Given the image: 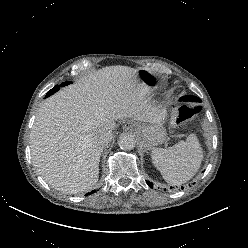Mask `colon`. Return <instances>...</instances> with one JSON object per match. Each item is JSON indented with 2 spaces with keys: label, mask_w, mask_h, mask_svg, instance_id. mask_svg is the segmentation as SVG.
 Instances as JSON below:
<instances>
[{
  "label": "colon",
  "mask_w": 248,
  "mask_h": 248,
  "mask_svg": "<svg viewBox=\"0 0 248 248\" xmlns=\"http://www.w3.org/2000/svg\"><path fill=\"white\" fill-rule=\"evenodd\" d=\"M198 112V108L192 106H182L179 112V120L186 122L191 120Z\"/></svg>",
  "instance_id": "1"
}]
</instances>
